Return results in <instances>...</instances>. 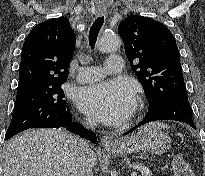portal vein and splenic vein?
<instances>
[{"instance_id":"portal-vein-and-splenic-vein-1","label":"portal vein and splenic vein","mask_w":205,"mask_h":176,"mask_svg":"<svg viewBox=\"0 0 205 176\" xmlns=\"http://www.w3.org/2000/svg\"><path fill=\"white\" fill-rule=\"evenodd\" d=\"M132 176H136V173L134 172V173L132 174Z\"/></svg>"}]
</instances>
